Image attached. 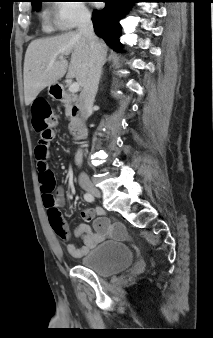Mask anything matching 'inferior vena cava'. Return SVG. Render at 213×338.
Wrapping results in <instances>:
<instances>
[{"label": "inferior vena cava", "instance_id": "obj_1", "mask_svg": "<svg viewBox=\"0 0 213 338\" xmlns=\"http://www.w3.org/2000/svg\"><path fill=\"white\" fill-rule=\"evenodd\" d=\"M78 33L88 40L90 46V71L88 79L84 84L79 97L81 118L82 120H87L98 91L99 79L101 76L102 66L105 62L106 52L103 49L102 43L94 33L91 15L89 12H82L78 25ZM79 180L87 181L88 177L86 174L82 173L79 176Z\"/></svg>", "mask_w": 213, "mask_h": 338}]
</instances>
